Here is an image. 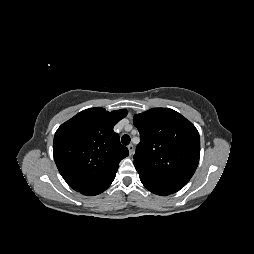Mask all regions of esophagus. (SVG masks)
I'll list each match as a JSON object with an SVG mask.
<instances>
[{"mask_svg": "<svg viewBox=\"0 0 254 254\" xmlns=\"http://www.w3.org/2000/svg\"><path fill=\"white\" fill-rule=\"evenodd\" d=\"M128 150H129L130 156H132L134 154V146L132 144L128 145Z\"/></svg>", "mask_w": 254, "mask_h": 254, "instance_id": "esophagus-1", "label": "esophagus"}]
</instances>
